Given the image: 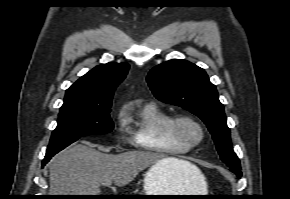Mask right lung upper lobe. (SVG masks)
I'll return each instance as SVG.
<instances>
[{
    "mask_svg": "<svg viewBox=\"0 0 290 199\" xmlns=\"http://www.w3.org/2000/svg\"><path fill=\"white\" fill-rule=\"evenodd\" d=\"M128 69L127 63L96 66L67 89L61 108L111 106L113 93Z\"/></svg>",
    "mask_w": 290,
    "mask_h": 199,
    "instance_id": "right-lung-upper-lobe-1",
    "label": "right lung upper lobe"
}]
</instances>
